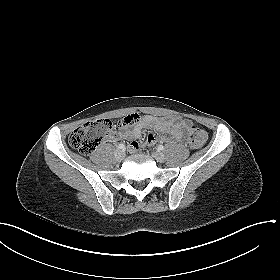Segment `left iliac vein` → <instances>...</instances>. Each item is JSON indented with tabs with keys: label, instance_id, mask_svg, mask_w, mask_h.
<instances>
[{
	"label": "left iliac vein",
	"instance_id": "obj_1",
	"mask_svg": "<svg viewBox=\"0 0 280 280\" xmlns=\"http://www.w3.org/2000/svg\"><path fill=\"white\" fill-rule=\"evenodd\" d=\"M152 157L157 161V162H164L165 161V156L161 152H153Z\"/></svg>",
	"mask_w": 280,
	"mask_h": 280
}]
</instances>
